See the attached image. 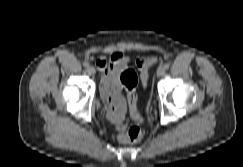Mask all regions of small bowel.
Here are the masks:
<instances>
[{"label":"small bowel","mask_w":243,"mask_h":167,"mask_svg":"<svg viewBox=\"0 0 243 167\" xmlns=\"http://www.w3.org/2000/svg\"><path fill=\"white\" fill-rule=\"evenodd\" d=\"M127 62L128 58L121 52L113 53L109 59L100 57L95 62L101 73V96L107 106V116L118 127L126 113V101L121 94L119 77ZM129 108L131 116L140 120L136 105L131 106L129 103Z\"/></svg>","instance_id":"obj_1"}]
</instances>
